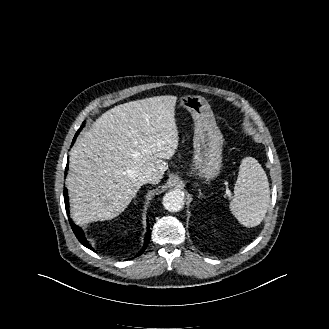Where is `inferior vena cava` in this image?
<instances>
[{
  "label": "inferior vena cava",
  "instance_id": "602c4592",
  "mask_svg": "<svg viewBox=\"0 0 329 329\" xmlns=\"http://www.w3.org/2000/svg\"><path fill=\"white\" fill-rule=\"evenodd\" d=\"M139 180L142 184L153 183L154 181H156V177L151 171H144L143 173H141Z\"/></svg>",
  "mask_w": 329,
  "mask_h": 329
}]
</instances>
